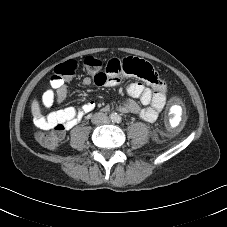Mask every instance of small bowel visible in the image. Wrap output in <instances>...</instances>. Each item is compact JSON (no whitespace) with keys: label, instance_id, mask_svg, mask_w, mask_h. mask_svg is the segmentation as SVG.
<instances>
[{"label":"small bowel","instance_id":"c3829d8e","mask_svg":"<svg viewBox=\"0 0 227 227\" xmlns=\"http://www.w3.org/2000/svg\"><path fill=\"white\" fill-rule=\"evenodd\" d=\"M121 66L123 62L117 60ZM123 71V70H122ZM105 80L103 85L113 86L118 82L119 77L113 76L109 71L103 72ZM147 85L141 83H129L125 90L127 94L139 100L141 107L134 100H126L119 105L122 112L133 113L139 115L145 121L154 122L161 110L164 108L167 101V84L165 80L161 79L158 73L154 70V78L152 80L143 79ZM84 85H90L95 82L94 76L85 77L83 79ZM98 84V83H97ZM54 89H57L54 91ZM67 97L66 86L59 88H52L47 90L42 96V104L46 109L51 108L54 104H61ZM95 108V102L89 101L82 106L81 109L74 107H65L50 112L48 115H39L35 118V124L42 129H50L56 125H61L65 130H69L77 125L80 121L82 113L91 112ZM110 106L104 107V111H109Z\"/></svg>","mask_w":227,"mask_h":227}]
</instances>
